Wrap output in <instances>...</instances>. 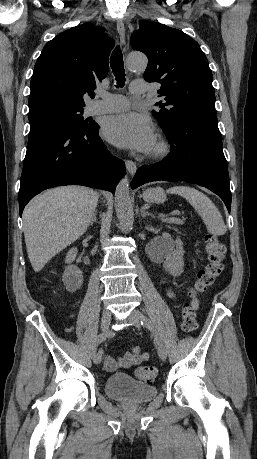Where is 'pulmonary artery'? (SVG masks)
Wrapping results in <instances>:
<instances>
[{
	"instance_id": "pulmonary-artery-1",
	"label": "pulmonary artery",
	"mask_w": 257,
	"mask_h": 459,
	"mask_svg": "<svg viewBox=\"0 0 257 459\" xmlns=\"http://www.w3.org/2000/svg\"><path fill=\"white\" fill-rule=\"evenodd\" d=\"M147 92L146 82L144 80H134L130 86V93L133 96H140ZM101 100L90 103L87 112L90 115L118 112L126 109L129 101L125 96L119 94L101 95Z\"/></svg>"
}]
</instances>
